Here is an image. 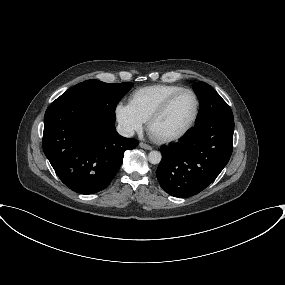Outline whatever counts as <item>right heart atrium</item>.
<instances>
[{
	"instance_id": "obj_1",
	"label": "right heart atrium",
	"mask_w": 285,
	"mask_h": 285,
	"mask_svg": "<svg viewBox=\"0 0 285 285\" xmlns=\"http://www.w3.org/2000/svg\"><path fill=\"white\" fill-rule=\"evenodd\" d=\"M114 114L121 131L126 135H133L143 128L144 121L129 103H118L115 106Z\"/></svg>"
}]
</instances>
